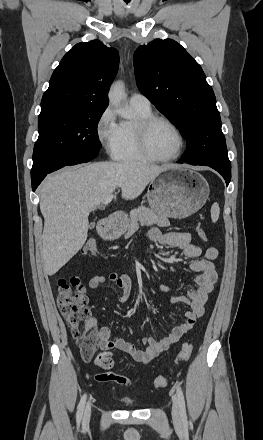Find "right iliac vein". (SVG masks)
Here are the masks:
<instances>
[{"mask_svg": "<svg viewBox=\"0 0 263 440\" xmlns=\"http://www.w3.org/2000/svg\"><path fill=\"white\" fill-rule=\"evenodd\" d=\"M90 415H91V405L88 403L83 415V425H87L89 423Z\"/></svg>", "mask_w": 263, "mask_h": 440, "instance_id": "obj_1", "label": "right iliac vein"}]
</instances>
